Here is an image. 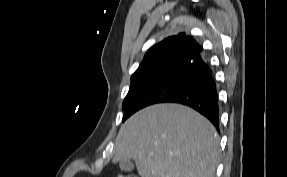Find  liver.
Instances as JSON below:
<instances>
[{"mask_svg": "<svg viewBox=\"0 0 287 177\" xmlns=\"http://www.w3.org/2000/svg\"><path fill=\"white\" fill-rule=\"evenodd\" d=\"M133 159L141 177H215L219 138L193 109L156 104L133 114L120 128L114 162Z\"/></svg>", "mask_w": 287, "mask_h": 177, "instance_id": "6515ba94", "label": "liver"}]
</instances>
